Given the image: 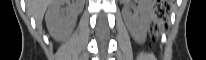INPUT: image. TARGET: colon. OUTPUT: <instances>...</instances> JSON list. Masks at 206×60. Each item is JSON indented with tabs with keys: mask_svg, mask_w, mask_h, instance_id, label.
Returning a JSON list of instances; mask_svg holds the SVG:
<instances>
[{
	"mask_svg": "<svg viewBox=\"0 0 206 60\" xmlns=\"http://www.w3.org/2000/svg\"><path fill=\"white\" fill-rule=\"evenodd\" d=\"M170 6L171 1L169 0H157L154 4L152 12L153 22L150 29L154 39L157 38L159 32L165 27Z\"/></svg>",
	"mask_w": 206,
	"mask_h": 60,
	"instance_id": "obj_1",
	"label": "colon"
}]
</instances>
